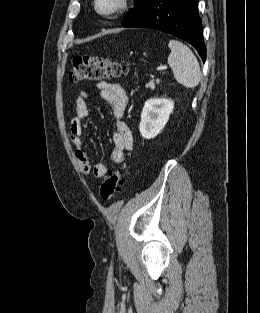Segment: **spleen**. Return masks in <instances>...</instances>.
<instances>
[{
	"label": "spleen",
	"mask_w": 260,
	"mask_h": 313,
	"mask_svg": "<svg viewBox=\"0 0 260 313\" xmlns=\"http://www.w3.org/2000/svg\"><path fill=\"white\" fill-rule=\"evenodd\" d=\"M168 46L171 49L168 64L176 81L186 88H195L200 82L201 71L194 53L178 40H171Z\"/></svg>",
	"instance_id": "obj_1"
}]
</instances>
